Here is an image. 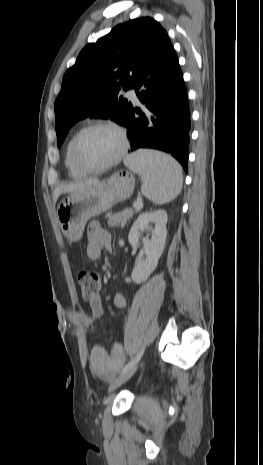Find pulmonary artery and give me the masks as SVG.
I'll list each match as a JSON object with an SVG mask.
<instances>
[{"instance_id": "1", "label": "pulmonary artery", "mask_w": 263, "mask_h": 465, "mask_svg": "<svg viewBox=\"0 0 263 465\" xmlns=\"http://www.w3.org/2000/svg\"><path fill=\"white\" fill-rule=\"evenodd\" d=\"M126 97L128 99H130L132 102L134 103H139V99H138V96H137V93L134 89H129L127 90L126 92Z\"/></svg>"}]
</instances>
